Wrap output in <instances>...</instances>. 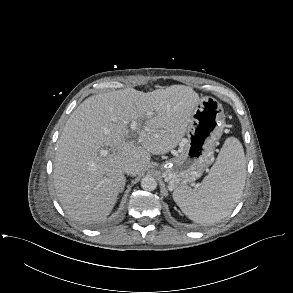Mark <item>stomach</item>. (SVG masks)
Segmentation results:
<instances>
[{"label":"stomach","mask_w":293,"mask_h":293,"mask_svg":"<svg viewBox=\"0 0 293 293\" xmlns=\"http://www.w3.org/2000/svg\"><path fill=\"white\" fill-rule=\"evenodd\" d=\"M224 126L225 114L219 101L202 97L194 109L187 137L182 139L176 155L162 166L170 190L194 182L212 164Z\"/></svg>","instance_id":"obj_1"}]
</instances>
